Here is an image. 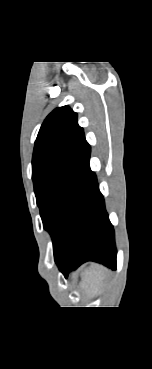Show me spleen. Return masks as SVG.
I'll list each match as a JSON object with an SVG mask.
<instances>
[{
  "label": "spleen",
  "instance_id": "1",
  "mask_svg": "<svg viewBox=\"0 0 152 369\" xmlns=\"http://www.w3.org/2000/svg\"><path fill=\"white\" fill-rule=\"evenodd\" d=\"M105 279L106 270L102 266L93 265L83 272L82 286L90 290L92 296H95L102 290Z\"/></svg>",
  "mask_w": 152,
  "mask_h": 369
}]
</instances>
